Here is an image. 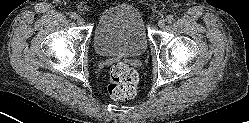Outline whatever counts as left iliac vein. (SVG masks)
I'll return each mask as SVG.
<instances>
[{
  "label": "left iliac vein",
  "mask_w": 249,
  "mask_h": 123,
  "mask_svg": "<svg viewBox=\"0 0 249 123\" xmlns=\"http://www.w3.org/2000/svg\"><path fill=\"white\" fill-rule=\"evenodd\" d=\"M166 24V20L164 18H160L159 21H158V26L160 28H163Z\"/></svg>",
  "instance_id": "1"
}]
</instances>
